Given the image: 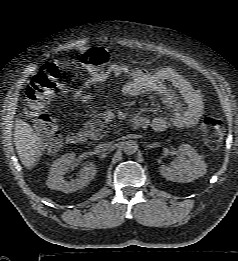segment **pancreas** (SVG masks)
<instances>
[{
    "label": "pancreas",
    "instance_id": "1",
    "mask_svg": "<svg viewBox=\"0 0 238 261\" xmlns=\"http://www.w3.org/2000/svg\"><path fill=\"white\" fill-rule=\"evenodd\" d=\"M107 124L101 119H95L90 120L84 124L83 132L86 134V136L92 140H100L104 134L107 133L108 130H104V128H107Z\"/></svg>",
    "mask_w": 238,
    "mask_h": 261
}]
</instances>
